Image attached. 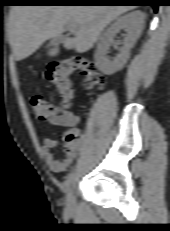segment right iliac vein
Listing matches in <instances>:
<instances>
[{"label":"right iliac vein","mask_w":170,"mask_h":231,"mask_svg":"<svg viewBox=\"0 0 170 231\" xmlns=\"http://www.w3.org/2000/svg\"><path fill=\"white\" fill-rule=\"evenodd\" d=\"M75 197L72 189L69 190L66 198V211L71 213L75 210Z\"/></svg>","instance_id":"63e3f726"}]
</instances>
